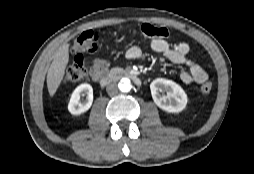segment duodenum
I'll use <instances>...</instances> for the list:
<instances>
[{"label":"duodenum","instance_id":"obj_1","mask_svg":"<svg viewBox=\"0 0 254 174\" xmlns=\"http://www.w3.org/2000/svg\"><path fill=\"white\" fill-rule=\"evenodd\" d=\"M119 78L130 79L136 85H140L141 84L140 78L135 73H133L131 71H128V70H120V69L113 70L112 72H110L109 75H105V74L101 75L98 78V81H99L100 85L105 86L111 80L119 79Z\"/></svg>","mask_w":254,"mask_h":174}]
</instances>
